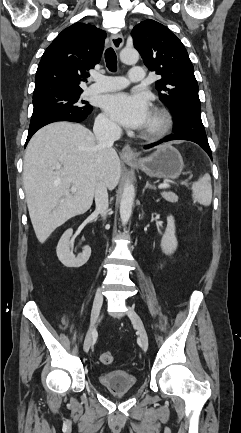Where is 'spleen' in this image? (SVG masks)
<instances>
[{
	"label": "spleen",
	"mask_w": 241,
	"mask_h": 433,
	"mask_svg": "<svg viewBox=\"0 0 241 433\" xmlns=\"http://www.w3.org/2000/svg\"><path fill=\"white\" fill-rule=\"evenodd\" d=\"M192 198L194 202L209 206L212 200L211 177L204 174L192 184Z\"/></svg>",
	"instance_id": "3e777b00"
}]
</instances>
